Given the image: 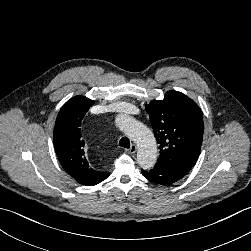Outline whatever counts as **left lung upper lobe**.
<instances>
[{"mask_svg": "<svg viewBox=\"0 0 251 251\" xmlns=\"http://www.w3.org/2000/svg\"><path fill=\"white\" fill-rule=\"evenodd\" d=\"M160 145L156 165L187 173L196 163L203 138V116L199 106L181 92L170 90L163 100L145 105Z\"/></svg>", "mask_w": 251, "mask_h": 251, "instance_id": "obj_1", "label": "left lung upper lobe"}]
</instances>
